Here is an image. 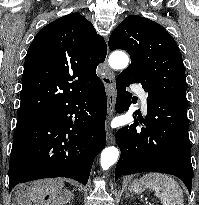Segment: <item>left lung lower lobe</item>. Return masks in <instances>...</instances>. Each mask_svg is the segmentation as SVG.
Masks as SVG:
<instances>
[{"label":"left lung lower lobe","instance_id":"obj_1","mask_svg":"<svg viewBox=\"0 0 199 205\" xmlns=\"http://www.w3.org/2000/svg\"><path fill=\"white\" fill-rule=\"evenodd\" d=\"M131 83H140L132 69L117 77V113L130 107L132 94L126 91V87ZM142 87L148 93L145 126L140 128L135 121L117 131L121 156L116 165L115 180L122 175L140 172L167 173L180 178L191 193L193 170L188 106Z\"/></svg>","mask_w":199,"mask_h":205}]
</instances>
